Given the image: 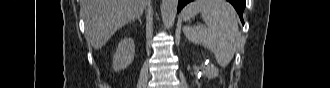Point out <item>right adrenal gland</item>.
Here are the masks:
<instances>
[{
    "mask_svg": "<svg viewBox=\"0 0 330 88\" xmlns=\"http://www.w3.org/2000/svg\"><path fill=\"white\" fill-rule=\"evenodd\" d=\"M135 19H137L139 22H140V24H142V21H141V16H138L137 18H135ZM135 19H133V21H135Z\"/></svg>",
    "mask_w": 330,
    "mask_h": 88,
    "instance_id": "1",
    "label": "right adrenal gland"
}]
</instances>
